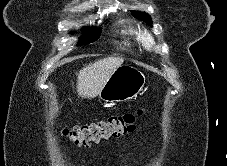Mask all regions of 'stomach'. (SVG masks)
I'll return each instance as SVG.
<instances>
[{
	"label": "stomach",
	"instance_id": "0dacf381",
	"mask_svg": "<svg viewBox=\"0 0 227 166\" xmlns=\"http://www.w3.org/2000/svg\"><path fill=\"white\" fill-rule=\"evenodd\" d=\"M146 84L145 75L132 65H121L110 76L99 98L106 103L128 101L143 92Z\"/></svg>",
	"mask_w": 227,
	"mask_h": 166
}]
</instances>
